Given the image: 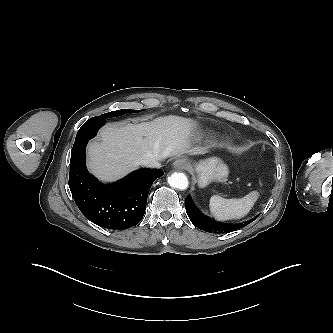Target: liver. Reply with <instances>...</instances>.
<instances>
[{"label": "liver", "mask_w": 333, "mask_h": 333, "mask_svg": "<svg viewBox=\"0 0 333 333\" xmlns=\"http://www.w3.org/2000/svg\"><path fill=\"white\" fill-rule=\"evenodd\" d=\"M195 122L175 115L159 117L151 122L108 125L100 131L99 141L88 145L89 170L101 181H115L146 158H164L190 153H204L191 148Z\"/></svg>", "instance_id": "obj_1"}]
</instances>
